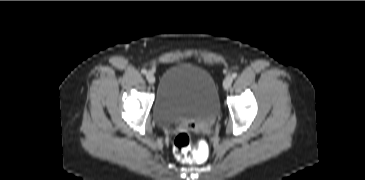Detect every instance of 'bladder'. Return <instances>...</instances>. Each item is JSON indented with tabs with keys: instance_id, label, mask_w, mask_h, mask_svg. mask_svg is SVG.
Instances as JSON below:
<instances>
[{
	"instance_id": "bladder-1",
	"label": "bladder",
	"mask_w": 365,
	"mask_h": 180,
	"mask_svg": "<svg viewBox=\"0 0 365 180\" xmlns=\"http://www.w3.org/2000/svg\"><path fill=\"white\" fill-rule=\"evenodd\" d=\"M219 109L217 83L208 70L191 63H176L163 71L153 104V116L160 126L209 121Z\"/></svg>"
}]
</instances>
